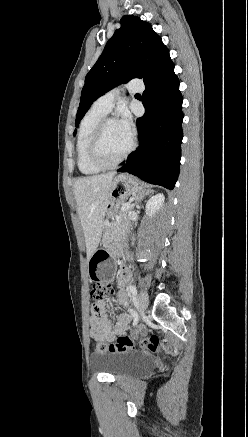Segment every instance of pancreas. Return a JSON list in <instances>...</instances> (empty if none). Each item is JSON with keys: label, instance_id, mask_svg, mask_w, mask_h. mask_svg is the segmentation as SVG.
Listing matches in <instances>:
<instances>
[{"label": "pancreas", "instance_id": "pancreas-1", "mask_svg": "<svg viewBox=\"0 0 248 437\" xmlns=\"http://www.w3.org/2000/svg\"><path fill=\"white\" fill-rule=\"evenodd\" d=\"M123 205L124 203H122V206ZM131 210L132 206L126 208L123 211L121 210L118 217L108 224L106 228V231L108 233L107 238L110 237L112 240L119 238L125 224L128 222V214Z\"/></svg>", "mask_w": 248, "mask_h": 437}]
</instances>
